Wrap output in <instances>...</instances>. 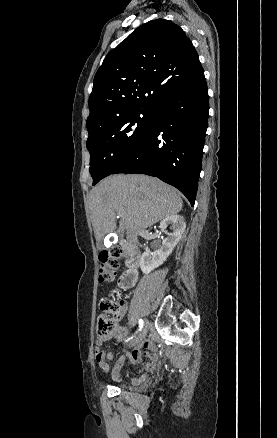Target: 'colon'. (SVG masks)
Segmentation results:
<instances>
[{
	"instance_id": "obj_1",
	"label": "colon",
	"mask_w": 277,
	"mask_h": 438,
	"mask_svg": "<svg viewBox=\"0 0 277 438\" xmlns=\"http://www.w3.org/2000/svg\"><path fill=\"white\" fill-rule=\"evenodd\" d=\"M134 251L131 248L126 249L122 254V249L115 245L109 247L103 252L99 260L102 262L97 266V277L100 284L113 283L116 279V267L120 257L130 259ZM122 255V256H121ZM100 318L94 319V330L97 331L94 337L100 340L103 336L115 333V328L120 327V306L112 301H107L101 306Z\"/></svg>"
}]
</instances>
